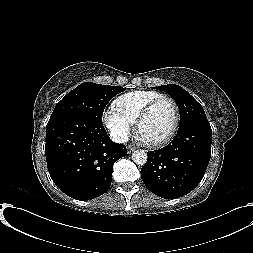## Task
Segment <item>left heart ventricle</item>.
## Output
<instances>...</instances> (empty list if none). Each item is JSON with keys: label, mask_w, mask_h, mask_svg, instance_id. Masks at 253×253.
I'll return each instance as SVG.
<instances>
[{"label": "left heart ventricle", "mask_w": 253, "mask_h": 253, "mask_svg": "<svg viewBox=\"0 0 253 253\" xmlns=\"http://www.w3.org/2000/svg\"><path fill=\"white\" fill-rule=\"evenodd\" d=\"M175 120L173 106L162 102L155 107L140 128V137L149 142L163 139L172 129Z\"/></svg>", "instance_id": "b2bd125f"}]
</instances>
